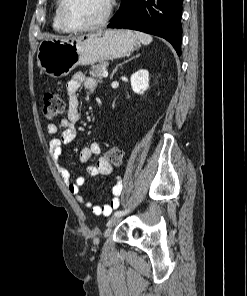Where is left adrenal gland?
<instances>
[{"label": "left adrenal gland", "mask_w": 247, "mask_h": 296, "mask_svg": "<svg viewBox=\"0 0 247 296\" xmlns=\"http://www.w3.org/2000/svg\"><path fill=\"white\" fill-rule=\"evenodd\" d=\"M139 56H140V54L136 55L135 57H132L131 59H129V60H127V61H125V62H123V63H121V64H119V65H117L116 68L113 70L112 74L110 75V78L113 79V76H114V74L116 73V71L118 70V67H119V66H122V65H124L125 63H127V62H129V61H131V60H133L134 58H137V57H139Z\"/></svg>", "instance_id": "obj_1"}]
</instances>
